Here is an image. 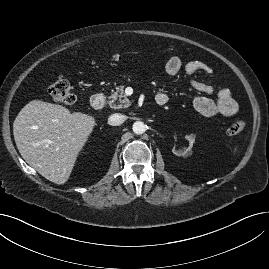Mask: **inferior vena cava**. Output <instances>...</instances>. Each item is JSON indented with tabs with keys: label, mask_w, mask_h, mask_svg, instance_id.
I'll list each match as a JSON object with an SVG mask.
<instances>
[{
	"label": "inferior vena cava",
	"mask_w": 269,
	"mask_h": 269,
	"mask_svg": "<svg viewBox=\"0 0 269 269\" xmlns=\"http://www.w3.org/2000/svg\"><path fill=\"white\" fill-rule=\"evenodd\" d=\"M126 120L125 115L122 114H112L108 118V123L112 126L121 125Z\"/></svg>",
	"instance_id": "602c4592"
}]
</instances>
